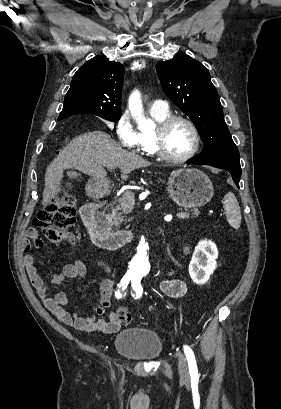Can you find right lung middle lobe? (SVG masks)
Listing matches in <instances>:
<instances>
[{"instance_id": "right-lung-middle-lobe-1", "label": "right lung middle lobe", "mask_w": 281, "mask_h": 409, "mask_svg": "<svg viewBox=\"0 0 281 409\" xmlns=\"http://www.w3.org/2000/svg\"><path fill=\"white\" fill-rule=\"evenodd\" d=\"M121 115H100L99 117H102L103 119L112 121V122H118L120 119Z\"/></svg>"}]
</instances>
